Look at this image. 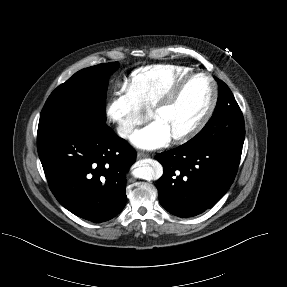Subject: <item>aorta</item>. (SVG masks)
Wrapping results in <instances>:
<instances>
[{
    "mask_svg": "<svg viewBox=\"0 0 287 287\" xmlns=\"http://www.w3.org/2000/svg\"><path fill=\"white\" fill-rule=\"evenodd\" d=\"M163 174V168L161 164L156 163L153 165L144 164L133 171V175L136 178H141L147 181L158 179Z\"/></svg>",
    "mask_w": 287,
    "mask_h": 287,
    "instance_id": "obj_1",
    "label": "aorta"
}]
</instances>
